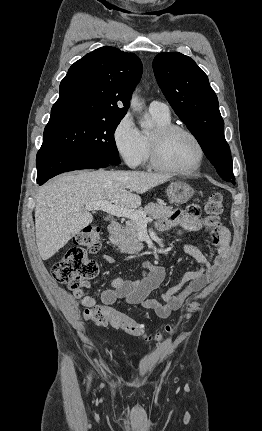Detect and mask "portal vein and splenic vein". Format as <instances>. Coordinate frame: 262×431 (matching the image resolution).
<instances>
[{
	"instance_id": "portal-vein-and-splenic-vein-1",
	"label": "portal vein and splenic vein",
	"mask_w": 262,
	"mask_h": 431,
	"mask_svg": "<svg viewBox=\"0 0 262 431\" xmlns=\"http://www.w3.org/2000/svg\"><path fill=\"white\" fill-rule=\"evenodd\" d=\"M85 210H88V211L102 210L113 216L124 217L131 220H135L136 222H138V224H141V225L143 224L146 225L148 221V218L146 217V213L139 210H133V209L116 206L107 200L86 204Z\"/></svg>"
}]
</instances>
